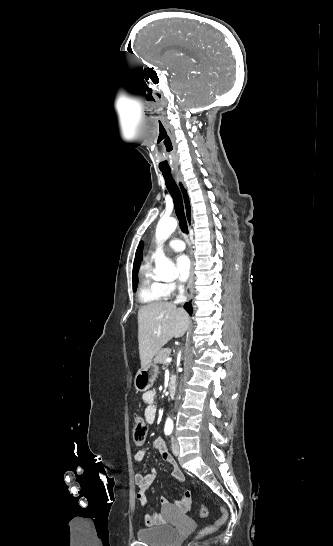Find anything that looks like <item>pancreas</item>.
Wrapping results in <instances>:
<instances>
[{"label": "pancreas", "mask_w": 333, "mask_h": 546, "mask_svg": "<svg viewBox=\"0 0 333 546\" xmlns=\"http://www.w3.org/2000/svg\"><path fill=\"white\" fill-rule=\"evenodd\" d=\"M171 353V349L170 348H163V349H160L158 351V353L156 354L155 358H154V361L156 363H159V364H167L166 362V358L169 357Z\"/></svg>", "instance_id": "obj_1"}]
</instances>
